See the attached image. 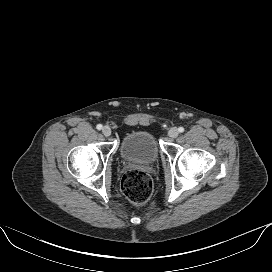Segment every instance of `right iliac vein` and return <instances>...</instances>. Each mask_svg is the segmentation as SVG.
I'll return each mask as SVG.
<instances>
[{"instance_id":"right-iliac-vein-1","label":"right iliac vein","mask_w":272,"mask_h":272,"mask_svg":"<svg viewBox=\"0 0 272 272\" xmlns=\"http://www.w3.org/2000/svg\"><path fill=\"white\" fill-rule=\"evenodd\" d=\"M102 133L104 136L108 137L111 135V129L108 126H104L102 129Z\"/></svg>"}]
</instances>
